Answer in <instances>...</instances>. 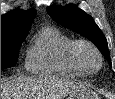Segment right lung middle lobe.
Returning a JSON list of instances; mask_svg holds the SVG:
<instances>
[{"instance_id":"obj_1","label":"right lung middle lobe","mask_w":115,"mask_h":99,"mask_svg":"<svg viewBox=\"0 0 115 99\" xmlns=\"http://www.w3.org/2000/svg\"><path fill=\"white\" fill-rule=\"evenodd\" d=\"M26 36L27 34L1 36V70L16 64L19 48Z\"/></svg>"}]
</instances>
